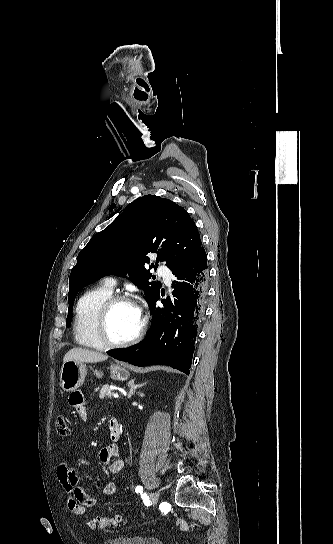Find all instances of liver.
Returning a JSON list of instances; mask_svg holds the SVG:
<instances>
[{
    "instance_id": "6515ba94",
    "label": "liver",
    "mask_w": 333,
    "mask_h": 544,
    "mask_svg": "<svg viewBox=\"0 0 333 544\" xmlns=\"http://www.w3.org/2000/svg\"><path fill=\"white\" fill-rule=\"evenodd\" d=\"M107 359L108 356L100 352L91 351L84 348H73L65 354L63 362L65 363L67 361L74 360L78 362L96 363L105 361Z\"/></svg>"
}]
</instances>
